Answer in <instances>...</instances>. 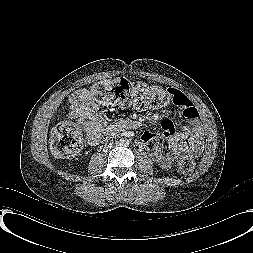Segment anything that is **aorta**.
Returning <instances> with one entry per match:
<instances>
[{"label":"aorta","instance_id":"aorta-1","mask_svg":"<svg viewBox=\"0 0 253 253\" xmlns=\"http://www.w3.org/2000/svg\"><path fill=\"white\" fill-rule=\"evenodd\" d=\"M120 145L121 146H127L128 145V140L127 139H121L120 140Z\"/></svg>","mask_w":253,"mask_h":253}]
</instances>
